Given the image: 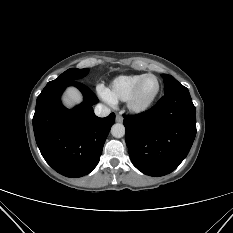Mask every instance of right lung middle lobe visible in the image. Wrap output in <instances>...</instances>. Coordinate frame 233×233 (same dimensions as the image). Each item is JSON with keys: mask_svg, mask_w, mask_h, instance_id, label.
I'll list each match as a JSON object with an SVG mask.
<instances>
[{"mask_svg": "<svg viewBox=\"0 0 233 233\" xmlns=\"http://www.w3.org/2000/svg\"><path fill=\"white\" fill-rule=\"evenodd\" d=\"M89 72L88 68L85 69H77V68H70L64 73H62L57 79L50 81L48 83H64L69 81H77L85 77Z\"/></svg>", "mask_w": 233, "mask_h": 233, "instance_id": "obj_1", "label": "right lung middle lobe"}]
</instances>
